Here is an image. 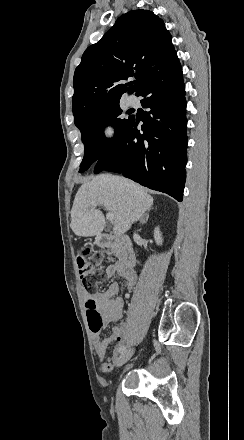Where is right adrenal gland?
<instances>
[{
  "label": "right adrenal gland",
  "instance_id": "right-adrenal-gland-1",
  "mask_svg": "<svg viewBox=\"0 0 244 440\" xmlns=\"http://www.w3.org/2000/svg\"><path fill=\"white\" fill-rule=\"evenodd\" d=\"M152 210H153V208H152ZM148 212H149V210H148ZM143 216H148V214H143Z\"/></svg>",
  "mask_w": 244,
  "mask_h": 440
}]
</instances>
